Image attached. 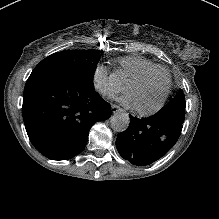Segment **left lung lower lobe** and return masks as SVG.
<instances>
[{
    "mask_svg": "<svg viewBox=\"0 0 219 219\" xmlns=\"http://www.w3.org/2000/svg\"><path fill=\"white\" fill-rule=\"evenodd\" d=\"M182 123L153 115L137 119L131 116L130 127L116 140L118 152L132 164L147 165L165 155L176 143Z\"/></svg>",
    "mask_w": 219,
    "mask_h": 219,
    "instance_id": "left-lung-lower-lobe-1",
    "label": "left lung lower lobe"
}]
</instances>
